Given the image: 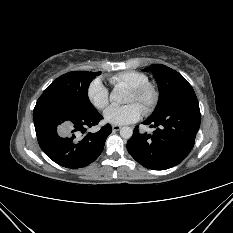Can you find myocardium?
<instances>
[{"label": "myocardium", "instance_id": "1", "mask_svg": "<svg viewBox=\"0 0 233 233\" xmlns=\"http://www.w3.org/2000/svg\"><path fill=\"white\" fill-rule=\"evenodd\" d=\"M130 91L137 97L145 113L151 112L158 103L159 91L157 86L151 82L130 88Z\"/></svg>", "mask_w": 233, "mask_h": 233}]
</instances>
